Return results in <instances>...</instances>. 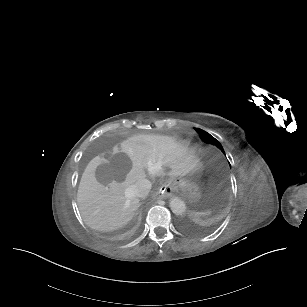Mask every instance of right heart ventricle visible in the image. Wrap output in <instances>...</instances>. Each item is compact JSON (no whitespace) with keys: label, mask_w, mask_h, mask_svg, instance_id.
Wrapping results in <instances>:
<instances>
[{"label":"right heart ventricle","mask_w":307,"mask_h":307,"mask_svg":"<svg viewBox=\"0 0 307 307\" xmlns=\"http://www.w3.org/2000/svg\"><path fill=\"white\" fill-rule=\"evenodd\" d=\"M188 144H189L188 142H185V143H183V146L186 147V146H188Z\"/></svg>","instance_id":"right-heart-ventricle-1"}]
</instances>
